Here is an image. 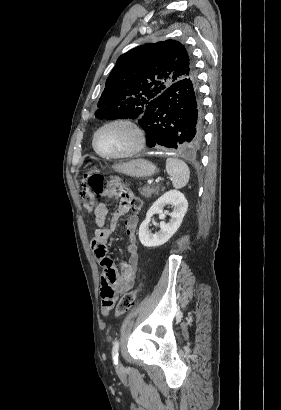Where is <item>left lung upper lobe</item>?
Listing matches in <instances>:
<instances>
[{"label":"left lung upper lobe","instance_id":"1","mask_svg":"<svg viewBox=\"0 0 281 410\" xmlns=\"http://www.w3.org/2000/svg\"><path fill=\"white\" fill-rule=\"evenodd\" d=\"M190 76H196L194 63L180 42L138 46L118 58L95 115L99 119H140L150 101Z\"/></svg>","mask_w":281,"mask_h":410}]
</instances>
